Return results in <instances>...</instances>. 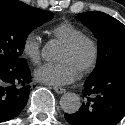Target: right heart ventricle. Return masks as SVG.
I'll return each instance as SVG.
<instances>
[{
	"mask_svg": "<svg viewBox=\"0 0 125 125\" xmlns=\"http://www.w3.org/2000/svg\"><path fill=\"white\" fill-rule=\"evenodd\" d=\"M51 33L62 44L83 34L81 29L68 22L57 24L51 29Z\"/></svg>",
	"mask_w": 125,
	"mask_h": 125,
	"instance_id": "obj_1",
	"label": "right heart ventricle"
}]
</instances>
